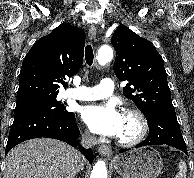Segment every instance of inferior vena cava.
Masks as SVG:
<instances>
[{
    "label": "inferior vena cava",
    "mask_w": 194,
    "mask_h": 178,
    "mask_svg": "<svg viewBox=\"0 0 194 178\" xmlns=\"http://www.w3.org/2000/svg\"><path fill=\"white\" fill-rule=\"evenodd\" d=\"M97 144V139L94 135H91L89 132L82 134V145L84 147H92Z\"/></svg>",
    "instance_id": "inferior-vena-cava-1"
}]
</instances>
